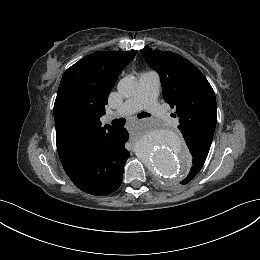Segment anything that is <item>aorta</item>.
Here are the masks:
<instances>
[{
    "instance_id": "obj_1",
    "label": "aorta",
    "mask_w": 260,
    "mask_h": 260,
    "mask_svg": "<svg viewBox=\"0 0 260 260\" xmlns=\"http://www.w3.org/2000/svg\"><path fill=\"white\" fill-rule=\"evenodd\" d=\"M117 89L122 96L131 97L137 92L138 82L131 77L123 78ZM135 135L142 138L137 148L156 176L177 179L188 172V153L174 131L158 122L143 121Z\"/></svg>"
}]
</instances>
